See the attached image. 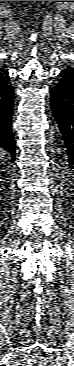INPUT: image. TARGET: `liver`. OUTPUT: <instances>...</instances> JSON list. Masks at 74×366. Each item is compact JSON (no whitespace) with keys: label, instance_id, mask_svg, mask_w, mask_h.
I'll return each instance as SVG.
<instances>
[{"label":"liver","instance_id":"1","mask_svg":"<svg viewBox=\"0 0 74 366\" xmlns=\"http://www.w3.org/2000/svg\"><path fill=\"white\" fill-rule=\"evenodd\" d=\"M4 154H5V153H4V151L2 150V151H1V157H3V155H4Z\"/></svg>","mask_w":74,"mask_h":366}]
</instances>
